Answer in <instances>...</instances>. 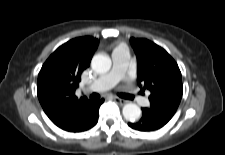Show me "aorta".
I'll return each instance as SVG.
<instances>
[{
    "instance_id": "obj_1",
    "label": "aorta",
    "mask_w": 225,
    "mask_h": 155,
    "mask_svg": "<svg viewBox=\"0 0 225 155\" xmlns=\"http://www.w3.org/2000/svg\"><path fill=\"white\" fill-rule=\"evenodd\" d=\"M92 69L100 74L106 73L111 68V59L105 54H96L91 61ZM123 116L128 121H136L141 117V109L134 103H127L122 109Z\"/></svg>"
}]
</instances>
